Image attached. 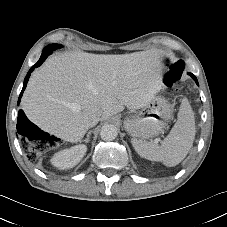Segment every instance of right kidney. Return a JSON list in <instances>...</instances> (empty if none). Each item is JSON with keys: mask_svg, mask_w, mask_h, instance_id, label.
Returning <instances> with one entry per match:
<instances>
[{"mask_svg": "<svg viewBox=\"0 0 227 227\" xmlns=\"http://www.w3.org/2000/svg\"><path fill=\"white\" fill-rule=\"evenodd\" d=\"M87 151L85 145H76L56 153L51 159L53 166L64 170L77 165Z\"/></svg>", "mask_w": 227, "mask_h": 227, "instance_id": "obj_1", "label": "right kidney"}]
</instances>
